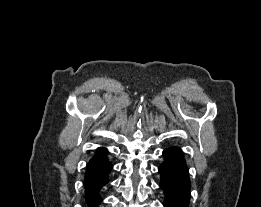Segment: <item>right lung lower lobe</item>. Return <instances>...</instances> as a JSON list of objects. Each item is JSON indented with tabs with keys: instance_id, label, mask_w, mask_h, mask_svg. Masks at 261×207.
<instances>
[{
	"instance_id": "98d812e1",
	"label": "right lung lower lobe",
	"mask_w": 261,
	"mask_h": 207,
	"mask_svg": "<svg viewBox=\"0 0 261 207\" xmlns=\"http://www.w3.org/2000/svg\"><path fill=\"white\" fill-rule=\"evenodd\" d=\"M113 165L107 157L105 148H97L86 166L84 177L85 201L87 207H98L101 203L100 191L109 183Z\"/></svg>"
}]
</instances>
